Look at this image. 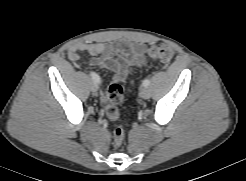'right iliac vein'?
<instances>
[{"instance_id":"right-iliac-vein-1","label":"right iliac vein","mask_w":246,"mask_h":181,"mask_svg":"<svg viewBox=\"0 0 246 181\" xmlns=\"http://www.w3.org/2000/svg\"><path fill=\"white\" fill-rule=\"evenodd\" d=\"M97 90H98V85L96 84V82L93 81L91 84V91L96 95Z\"/></svg>"}]
</instances>
